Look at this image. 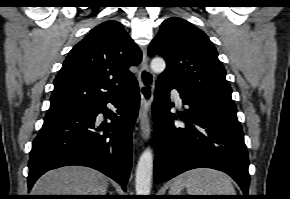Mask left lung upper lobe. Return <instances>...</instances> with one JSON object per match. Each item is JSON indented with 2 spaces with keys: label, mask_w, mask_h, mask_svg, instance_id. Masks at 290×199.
I'll return each instance as SVG.
<instances>
[{
  "label": "left lung upper lobe",
  "mask_w": 290,
  "mask_h": 199,
  "mask_svg": "<svg viewBox=\"0 0 290 199\" xmlns=\"http://www.w3.org/2000/svg\"><path fill=\"white\" fill-rule=\"evenodd\" d=\"M148 55H160L167 67L160 74L178 89L235 105L226 71L206 34L191 23L172 17L165 20L151 42Z\"/></svg>",
  "instance_id": "left-lung-upper-lobe-1"
}]
</instances>
